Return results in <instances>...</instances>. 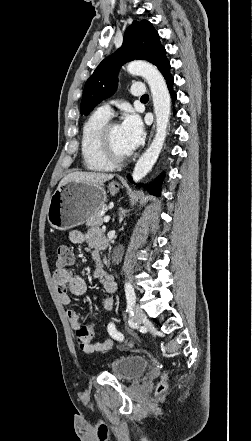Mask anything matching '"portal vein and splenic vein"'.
Here are the masks:
<instances>
[{
    "label": "portal vein and splenic vein",
    "mask_w": 252,
    "mask_h": 441,
    "mask_svg": "<svg viewBox=\"0 0 252 441\" xmlns=\"http://www.w3.org/2000/svg\"><path fill=\"white\" fill-rule=\"evenodd\" d=\"M109 220H110V217H109V216H105V217L103 218V221H104L105 223L109 222Z\"/></svg>",
    "instance_id": "1"
}]
</instances>
